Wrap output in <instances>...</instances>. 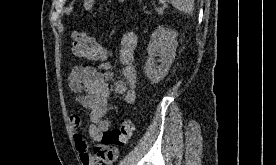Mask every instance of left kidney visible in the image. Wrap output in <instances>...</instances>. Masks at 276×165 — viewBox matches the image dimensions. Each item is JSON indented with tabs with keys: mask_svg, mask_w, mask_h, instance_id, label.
Returning <instances> with one entry per match:
<instances>
[{
	"mask_svg": "<svg viewBox=\"0 0 276 165\" xmlns=\"http://www.w3.org/2000/svg\"><path fill=\"white\" fill-rule=\"evenodd\" d=\"M177 36L176 31L163 26H159L150 36L144 73L153 83L160 82L168 74L176 55ZM157 56L160 59L156 60ZM157 63L160 64L157 65Z\"/></svg>",
	"mask_w": 276,
	"mask_h": 165,
	"instance_id": "1",
	"label": "left kidney"
}]
</instances>
